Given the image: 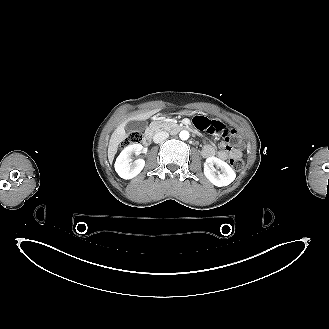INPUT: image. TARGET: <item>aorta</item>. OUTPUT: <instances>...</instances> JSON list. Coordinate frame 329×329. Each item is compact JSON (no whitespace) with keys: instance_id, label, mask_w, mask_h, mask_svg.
Masks as SVG:
<instances>
[{"instance_id":"762f6f07","label":"aorta","mask_w":329,"mask_h":329,"mask_svg":"<svg viewBox=\"0 0 329 329\" xmlns=\"http://www.w3.org/2000/svg\"><path fill=\"white\" fill-rule=\"evenodd\" d=\"M179 137L181 140H187L189 138V132L187 130H182L179 133Z\"/></svg>"}]
</instances>
